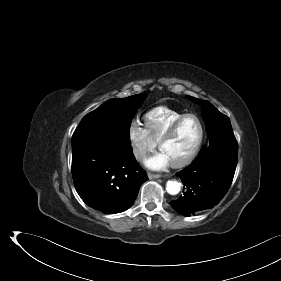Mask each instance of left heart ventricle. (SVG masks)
<instances>
[{
    "instance_id": "obj_1",
    "label": "left heart ventricle",
    "mask_w": 281,
    "mask_h": 281,
    "mask_svg": "<svg viewBox=\"0 0 281 281\" xmlns=\"http://www.w3.org/2000/svg\"><path fill=\"white\" fill-rule=\"evenodd\" d=\"M200 128L197 120L193 117L185 119L174 136L164 144L161 151L172 162L185 157L196 145L199 138Z\"/></svg>"
}]
</instances>
